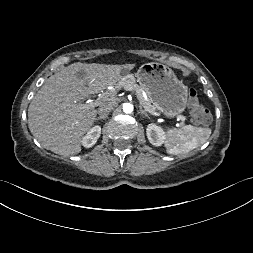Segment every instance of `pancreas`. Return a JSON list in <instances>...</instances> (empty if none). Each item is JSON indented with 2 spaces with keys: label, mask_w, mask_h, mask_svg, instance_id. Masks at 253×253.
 <instances>
[{
  "label": "pancreas",
  "mask_w": 253,
  "mask_h": 253,
  "mask_svg": "<svg viewBox=\"0 0 253 253\" xmlns=\"http://www.w3.org/2000/svg\"><path fill=\"white\" fill-rule=\"evenodd\" d=\"M115 86L120 89V88H124L125 86H130L136 93L137 97L143 102L144 105L150 107L153 110H157L156 105H154L151 100L149 99L148 101H146L143 97V93H142V88L136 83V80L134 78V76L132 75H127L123 78H121V80H119Z\"/></svg>",
  "instance_id": "pancreas-1"
}]
</instances>
